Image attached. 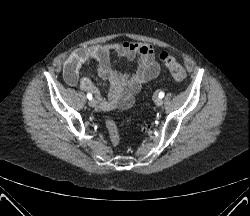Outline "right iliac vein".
Returning a JSON list of instances; mask_svg holds the SVG:
<instances>
[{
  "instance_id": "63e3f726",
  "label": "right iliac vein",
  "mask_w": 250,
  "mask_h": 216,
  "mask_svg": "<svg viewBox=\"0 0 250 216\" xmlns=\"http://www.w3.org/2000/svg\"><path fill=\"white\" fill-rule=\"evenodd\" d=\"M88 103H89V106L95 107L97 104V101L95 99H90Z\"/></svg>"
}]
</instances>
